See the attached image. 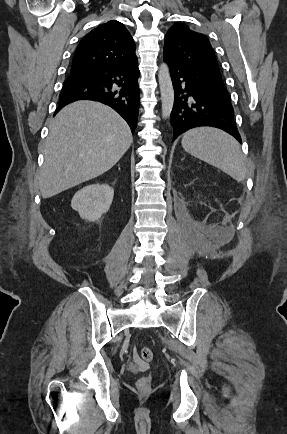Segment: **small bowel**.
<instances>
[{
	"label": "small bowel",
	"instance_id": "small-bowel-1",
	"mask_svg": "<svg viewBox=\"0 0 287 434\" xmlns=\"http://www.w3.org/2000/svg\"><path fill=\"white\" fill-rule=\"evenodd\" d=\"M136 366H137L139 369H141V370H143V369L146 368V364L143 363V362H141V361H139V360H136Z\"/></svg>",
	"mask_w": 287,
	"mask_h": 434
}]
</instances>
